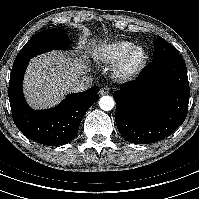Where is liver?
<instances>
[{
    "label": "liver",
    "instance_id": "liver-1",
    "mask_svg": "<svg viewBox=\"0 0 199 199\" xmlns=\"http://www.w3.org/2000/svg\"><path fill=\"white\" fill-rule=\"evenodd\" d=\"M85 45V41L80 42ZM83 56L71 57L64 52L52 51L33 58L27 68L23 90L34 109L49 108L73 92L72 83L86 73Z\"/></svg>",
    "mask_w": 199,
    "mask_h": 199
}]
</instances>
